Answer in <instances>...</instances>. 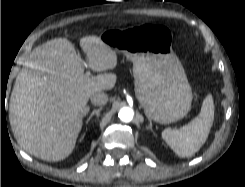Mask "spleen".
<instances>
[{"instance_id":"3e777b00","label":"spleen","mask_w":245,"mask_h":187,"mask_svg":"<svg viewBox=\"0 0 245 187\" xmlns=\"http://www.w3.org/2000/svg\"><path fill=\"white\" fill-rule=\"evenodd\" d=\"M213 121L214 102L212 95L208 94L197 117L180 129L163 130L162 138L178 156L190 157L205 143Z\"/></svg>"}]
</instances>
